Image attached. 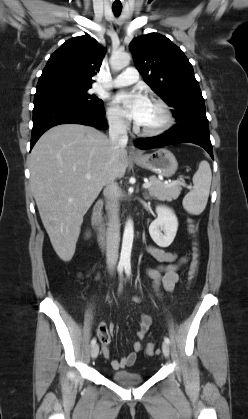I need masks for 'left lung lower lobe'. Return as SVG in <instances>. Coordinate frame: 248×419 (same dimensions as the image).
<instances>
[{
	"label": "left lung lower lobe",
	"instance_id": "left-lung-lower-lobe-1",
	"mask_svg": "<svg viewBox=\"0 0 248 419\" xmlns=\"http://www.w3.org/2000/svg\"><path fill=\"white\" fill-rule=\"evenodd\" d=\"M178 123L164 134L152 138H139L135 146L139 149H152L169 144L189 142L203 147L213 158L206 112L191 111L177 118Z\"/></svg>",
	"mask_w": 248,
	"mask_h": 419
}]
</instances>
